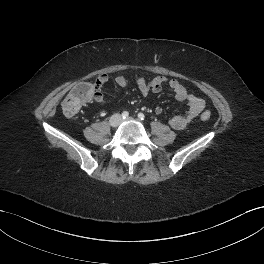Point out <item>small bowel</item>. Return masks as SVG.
Listing matches in <instances>:
<instances>
[{"label":"small bowel","mask_w":264,"mask_h":264,"mask_svg":"<svg viewBox=\"0 0 264 264\" xmlns=\"http://www.w3.org/2000/svg\"><path fill=\"white\" fill-rule=\"evenodd\" d=\"M108 80L109 77L107 74H100L96 78L94 83L96 87V93L93 97L96 103L104 102L103 95L100 89L105 83L108 82ZM114 81L115 84L120 88H125L130 83V79L124 75L116 76ZM132 82L143 96H147L148 94H157L161 92L163 86L167 84L173 91L175 99L187 104L188 109L185 114L174 116L169 121L171 127L176 130L184 129L205 108L204 100L190 94L186 90V88L176 79H171L167 76L161 75L151 79H146L144 77H135ZM154 110L157 114H160L162 112V108L160 106H156Z\"/></svg>","instance_id":"c3829d8e"}]
</instances>
